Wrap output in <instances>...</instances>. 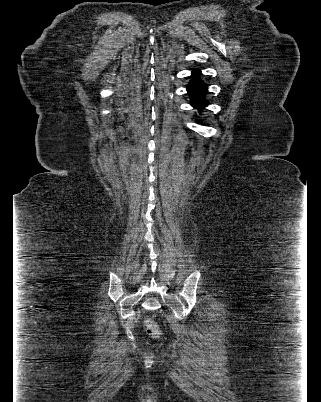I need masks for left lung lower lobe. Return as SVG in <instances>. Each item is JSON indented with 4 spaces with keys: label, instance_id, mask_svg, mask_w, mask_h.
<instances>
[{
    "label": "left lung lower lobe",
    "instance_id": "0a47b994",
    "mask_svg": "<svg viewBox=\"0 0 321 402\" xmlns=\"http://www.w3.org/2000/svg\"><path fill=\"white\" fill-rule=\"evenodd\" d=\"M199 75L200 70H193V79L189 82L187 91L190 96L191 105L201 111L207 106L208 101L205 98L207 93V84L198 78Z\"/></svg>",
    "mask_w": 321,
    "mask_h": 402
}]
</instances>
